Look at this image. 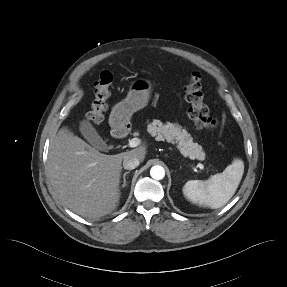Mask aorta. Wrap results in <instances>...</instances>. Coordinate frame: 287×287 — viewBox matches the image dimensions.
<instances>
[{"instance_id": "aorta-1", "label": "aorta", "mask_w": 287, "mask_h": 287, "mask_svg": "<svg viewBox=\"0 0 287 287\" xmlns=\"http://www.w3.org/2000/svg\"><path fill=\"white\" fill-rule=\"evenodd\" d=\"M150 176L155 180H161L165 177V170L160 165H155L150 169Z\"/></svg>"}]
</instances>
